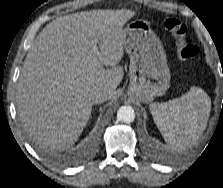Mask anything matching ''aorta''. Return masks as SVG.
Returning a JSON list of instances; mask_svg holds the SVG:
<instances>
[{"instance_id": "762f6f07", "label": "aorta", "mask_w": 223, "mask_h": 188, "mask_svg": "<svg viewBox=\"0 0 223 188\" xmlns=\"http://www.w3.org/2000/svg\"><path fill=\"white\" fill-rule=\"evenodd\" d=\"M117 119L124 123H131L135 119L134 109L130 106H121L117 111Z\"/></svg>"}]
</instances>
